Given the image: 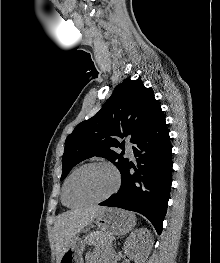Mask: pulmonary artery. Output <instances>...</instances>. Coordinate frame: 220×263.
<instances>
[{
    "label": "pulmonary artery",
    "mask_w": 220,
    "mask_h": 263,
    "mask_svg": "<svg viewBox=\"0 0 220 263\" xmlns=\"http://www.w3.org/2000/svg\"><path fill=\"white\" fill-rule=\"evenodd\" d=\"M126 149H127V153L130 157H133L134 154H133V149H132V144L127 142L126 143Z\"/></svg>",
    "instance_id": "obj_1"
}]
</instances>
